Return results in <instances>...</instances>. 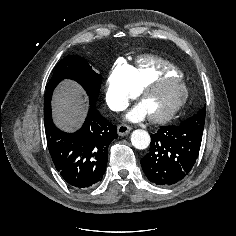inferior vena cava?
<instances>
[{"label": "inferior vena cava", "instance_id": "inferior-vena-cava-1", "mask_svg": "<svg viewBox=\"0 0 236 236\" xmlns=\"http://www.w3.org/2000/svg\"><path fill=\"white\" fill-rule=\"evenodd\" d=\"M125 108H126V106H124V105H119L118 108H117V110L120 111V110H124Z\"/></svg>", "mask_w": 236, "mask_h": 236}]
</instances>
